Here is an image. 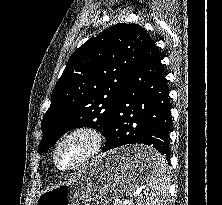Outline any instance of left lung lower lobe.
<instances>
[{
  "mask_svg": "<svg viewBox=\"0 0 222 205\" xmlns=\"http://www.w3.org/2000/svg\"><path fill=\"white\" fill-rule=\"evenodd\" d=\"M170 97L160 54L149 38L130 70L120 94L103 152L127 145L146 144L170 156ZM148 165V157L141 159Z\"/></svg>",
  "mask_w": 222,
  "mask_h": 205,
  "instance_id": "0a47b994",
  "label": "left lung lower lobe"
}]
</instances>
